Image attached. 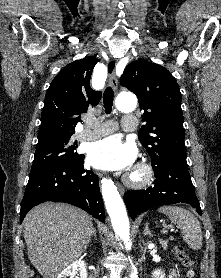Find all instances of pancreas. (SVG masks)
<instances>
[{
  "label": "pancreas",
  "instance_id": "cf45deb5",
  "mask_svg": "<svg viewBox=\"0 0 221 278\" xmlns=\"http://www.w3.org/2000/svg\"><path fill=\"white\" fill-rule=\"evenodd\" d=\"M159 243L161 244L163 249H167L168 248V241L167 240L159 239Z\"/></svg>",
  "mask_w": 221,
  "mask_h": 278
}]
</instances>
